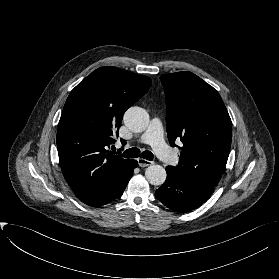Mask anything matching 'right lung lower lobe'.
<instances>
[{"label":"right lung lower lobe","instance_id":"obj_1","mask_svg":"<svg viewBox=\"0 0 279 279\" xmlns=\"http://www.w3.org/2000/svg\"><path fill=\"white\" fill-rule=\"evenodd\" d=\"M137 166L138 162L136 160H133L130 170L112 189L108 190L106 193L102 194L96 199L86 202L85 204L97 207L119 198L123 194L124 189L126 188L130 178L132 177L134 168H136Z\"/></svg>","mask_w":279,"mask_h":279}]
</instances>
